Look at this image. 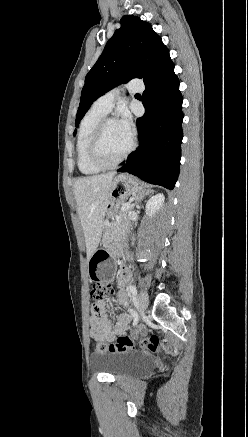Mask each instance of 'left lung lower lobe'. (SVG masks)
<instances>
[{"mask_svg": "<svg viewBox=\"0 0 248 437\" xmlns=\"http://www.w3.org/2000/svg\"><path fill=\"white\" fill-rule=\"evenodd\" d=\"M145 86V114L136 120L139 147L118 171L172 190L179 175L183 138V99L173 62Z\"/></svg>", "mask_w": 248, "mask_h": 437, "instance_id": "1", "label": "left lung lower lobe"}]
</instances>
